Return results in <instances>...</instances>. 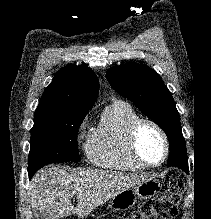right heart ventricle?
<instances>
[{"mask_svg": "<svg viewBox=\"0 0 211 219\" xmlns=\"http://www.w3.org/2000/svg\"><path fill=\"white\" fill-rule=\"evenodd\" d=\"M139 119L128 103L115 100L103 111L98 128L91 134L85 153L91 164L119 171H138L140 166L131 156L128 133Z\"/></svg>", "mask_w": 211, "mask_h": 219, "instance_id": "e07e8e85", "label": "right heart ventricle"}]
</instances>
